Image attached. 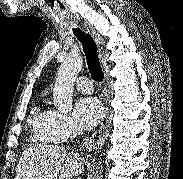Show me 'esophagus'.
Instances as JSON below:
<instances>
[{
    "label": "esophagus",
    "instance_id": "34e87169",
    "mask_svg": "<svg viewBox=\"0 0 183 179\" xmlns=\"http://www.w3.org/2000/svg\"><path fill=\"white\" fill-rule=\"evenodd\" d=\"M86 30L92 35L94 38L100 57L104 58L105 51H104V40L103 38L94 30L91 28L86 27ZM111 118H112V111L108 104V99L106 100V115L102 119L100 128L92 134L89 138L85 139L83 142V147L91 150V149H97L104 145L110 129H111Z\"/></svg>",
    "mask_w": 183,
    "mask_h": 179
}]
</instances>
